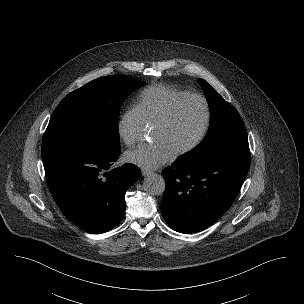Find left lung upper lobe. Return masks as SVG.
I'll return each mask as SVG.
<instances>
[{
	"label": "left lung upper lobe",
	"mask_w": 304,
	"mask_h": 304,
	"mask_svg": "<svg viewBox=\"0 0 304 304\" xmlns=\"http://www.w3.org/2000/svg\"><path fill=\"white\" fill-rule=\"evenodd\" d=\"M199 83L209 102L211 125L203 141L181 159L197 165L227 153L249 155L246 128L236 109L204 80L199 79Z\"/></svg>",
	"instance_id": "obj_1"
}]
</instances>
